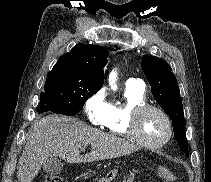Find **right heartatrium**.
Listing matches in <instances>:
<instances>
[{"mask_svg": "<svg viewBox=\"0 0 211 182\" xmlns=\"http://www.w3.org/2000/svg\"><path fill=\"white\" fill-rule=\"evenodd\" d=\"M110 103L104 89L91 95L84 103V111L87 119L93 125L100 126L108 116Z\"/></svg>", "mask_w": 211, "mask_h": 182, "instance_id": "right-heart-atrium-1", "label": "right heart atrium"}]
</instances>
